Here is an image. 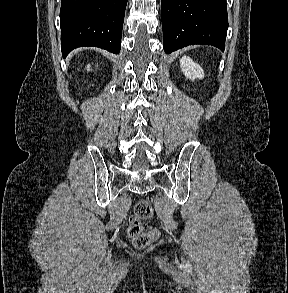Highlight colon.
I'll return each mask as SVG.
<instances>
[{
    "label": "colon",
    "instance_id": "1",
    "mask_svg": "<svg viewBox=\"0 0 288 293\" xmlns=\"http://www.w3.org/2000/svg\"><path fill=\"white\" fill-rule=\"evenodd\" d=\"M153 214L152 203L149 199L139 201L129 220L128 234L133 245L137 249H142L157 239L159 233L156 229H143L141 223L149 219Z\"/></svg>",
    "mask_w": 288,
    "mask_h": 293
}]
</instances>
